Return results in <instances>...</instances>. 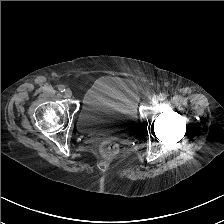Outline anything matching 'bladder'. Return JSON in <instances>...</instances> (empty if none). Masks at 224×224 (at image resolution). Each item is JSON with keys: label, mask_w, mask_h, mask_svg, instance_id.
Here are the masks:
<instances>
[{"label": "bladder", "mask_w": 224, "mask_h": 224, "mask_svg": "<svg viewBox=\"0 0 224 224\" xmlns=\"http://www.w3.org/2000/svg\"><path fill=\"white\" fill-rule=\"evenodd\" d=\"M137 124L136 98L119 77L101 76L85 91L76 120L79 133L125 138Z\"/></svg>", "instance_id": "1"}]
</instances>
